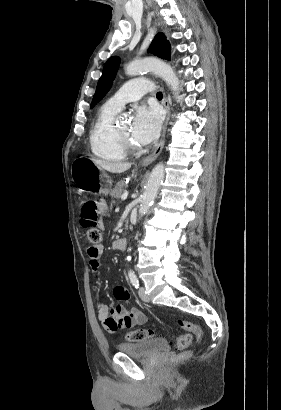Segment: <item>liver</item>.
<instances>
[{
	"label": "liver",
	"instance_id": "1",
	"mask_svg": "<svg viewBox=\"0 0 281 410\" xmlns=\"http://www.w3.org/2000/svg\"><path fill=\"white\" fill-rule=\"evenodd\" d=\"M100 168L111 172V173H123L130 169L131 163H123V162H110L100 159H92Z\"/></svg>",
	"mask_w": 281,
	"mask_h": 410
}]
</instances>
